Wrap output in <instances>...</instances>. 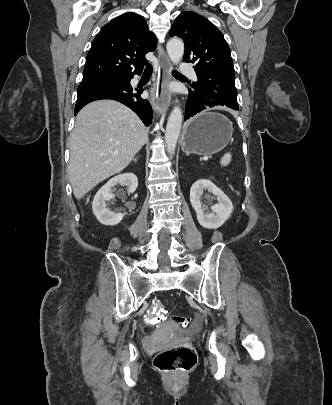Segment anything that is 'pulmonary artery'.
<instances>
[{"instance_id": "obj_1", "label": "pulmonary artery", "mask_w": 332, "mask_h": 405, "mask_svg": "<svg viewBox=\"0 0 332 405\" xmlns=\"http://www.w3.org/2000/svg\"><path fill=\"white\" fill-rule=\"evenodd\" d=\"M180 70L183 75H187V76L191 77L192 79H196V74H195L193 68L190 67L189 65L182 64L180 67Z\"/></svg>"}]
</instances>
